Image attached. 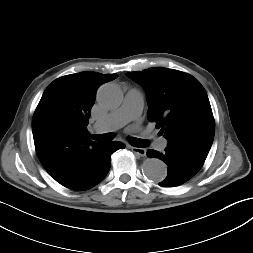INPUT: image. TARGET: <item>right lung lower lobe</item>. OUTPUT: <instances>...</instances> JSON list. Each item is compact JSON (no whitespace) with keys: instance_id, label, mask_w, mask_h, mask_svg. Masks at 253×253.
Wrapping results in <instances>:
<instances>
[{"instance_id":"98d812e1","label":"right lung lower lobe","mask_w":253,"mask_h":253,"mask_svg":"<svg viewBox=\"0 0 253 253\" xmlns=\"http://www.w3.org/2000/svg\"><path fill=\"white\" fill-rule=\"evenodd\" d=\"M121 142H110L102 144V146L95 152L93 156V163L90 166L89 173L79 183L69 187L72 190H87L99 182H101L107 175L111 166V154L120 148H124Z\"/></svg>"}]
</instances>
